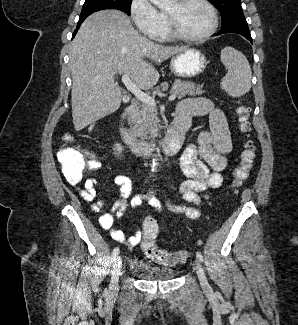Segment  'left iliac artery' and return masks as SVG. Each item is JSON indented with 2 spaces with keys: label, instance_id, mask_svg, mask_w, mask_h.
<instances>
[{
  "label": "left iliac artery",
  "instance_id": "1",
  "mask_svg": "<svg viewBox=\"0 0 298 325\" xmlns=\"http://www.w3.org/2000/svg\"><path fill=\"white\" fill-rule=\"evenodd\" d=\"M196 257L200 262H203V256H202L201 252L197 251Z\"/></svg>",
  "mask_w": 298,
  "mask_h": 325
}]
</instances>
